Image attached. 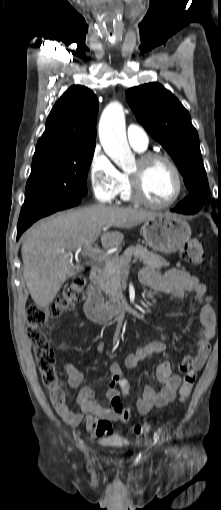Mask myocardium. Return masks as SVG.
<instances>
[{
  "label": "myocardium",
  "instance_id": "myocardium-1",
  "mask_svg": "<svg viewBox=\"0 0 221 510\" xmlns=\"http://www.w3.org/2000/svg\"><path fill=\"white\" fill-rule=\"evenodd\" d=\"M155 161H163L169 165L175 174L177 180V190L175 195L168 201L156 202L148 199L142 190V176L148 165ZM139 170L137 172L128 173V183L130 196L133 200L146 206L153 208H167L175 204L182 197L185 190L183 175L173 159L162 153L148 152L142 154L138 159Z\"/></svg>",
  "mask_w": 221,
  "mask_h": 510
}]
</instances>
